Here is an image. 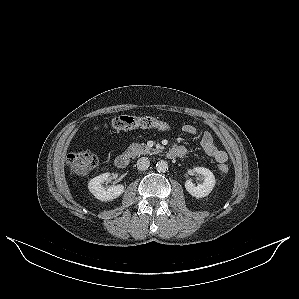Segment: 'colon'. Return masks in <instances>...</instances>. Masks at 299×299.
I'll use <instances>...</instances> for the list:
<instances>
[{"mask_svg":"<svg viewBox=\"0 0 299 299\" xmlns=\"http://www.w3.org/2000/svg\"><path fill=\"white\" fill-rule=\"evenodd\" d=\"M110 127L115 130H129L137 127L154 128L164 132H169L172 129L168 122L156 117L127 115L115 117L111 121ZM67 163L74 175L83 176L91 172L97 166L98 159L94 154L82 151L69 155ZM219 169L221 172L227 173L229 168L227 165L221 164L219 165Z\"/></svg>","mask_w":299,"mask_h":299,"instance_id":"colon-1","label":"colon"}]
</instances>
